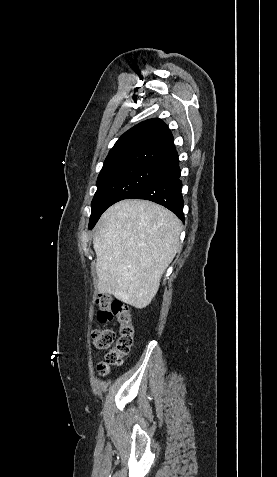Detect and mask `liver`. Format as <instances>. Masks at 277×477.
<instances>
[{
  "label": "liver",
  "instance_id": "1",
  "mask_svg": "<svg viewBox=\"0 0 277 477\" xmlns=\"http://www.w3.org/2000/svg\"><path fill=\"white\" fill-rule=\"evenodd\" d=\"M181 221L146 200H123L108 208L96 225L98 292L135 308L148 306L179 249Z\"/></svg>",
  "mask_w": 277,
  "mask_h": 477
}]
</instances>
